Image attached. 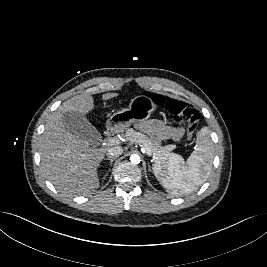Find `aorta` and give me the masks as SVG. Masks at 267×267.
I'll list each match as a JSON object with an SVG mask.
<instances>
[{"label":"aorta","mask_w":267,"mask_h":267,"mask_svg":"<svg viewBox=\"0 0 267 267\" xmlns=\"http://www.w3.org/2000/svg\"><path fill=\"white\" fill-rule=\"evenodd\" d=\"M130 161L133 163V164H139L141 159H140V156L137 155V154H133L131 155L130 157Z\"/></svg>","instance_id":"aorta-1"}]
</instances>
